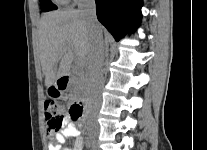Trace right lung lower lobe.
I'll use <instances>...</instances> for the list:
<instances>
[{
    "mask_svg": "<svg viewBox=\"0 0 207 150\" xmlns=\"http://www.w3.org/2000/svg\"><path fill=\"white\" fill-rule=\"evenodd\" d=\"M98 20L118 41L141 21L143 0H95Z\"/></svg>",
    "mask_w": 207,
    "mask_h": 150,
    "instance_id": "obj_1",
    "label": "right lung lower lobe"
}]
</instances>
